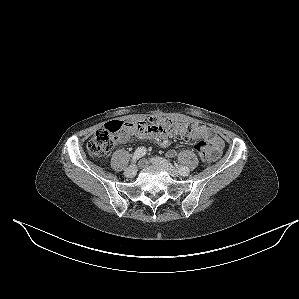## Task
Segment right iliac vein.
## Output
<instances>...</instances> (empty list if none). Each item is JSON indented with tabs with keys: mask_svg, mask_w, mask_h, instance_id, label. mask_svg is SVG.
<instances>
[{
	"mask_svg": "<svg viewBox=\"0 0 299 299\" xmlns=\"http://www.w3.org/2000/svg\"><path fill=\"white\" fill-rule=\"evenodd\" d=\"M137 173V168L135 165L130 166L124 172L126 177L133 178Z\"/></svg>",
	"mask_w": 299,
	"mask_h": 299,
	"instance_id": "63e3f726",
	"label": "right iliac vein"
}]
</instances>
